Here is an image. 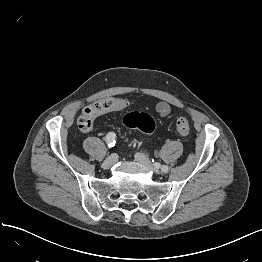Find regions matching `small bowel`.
Masks as SVG:
<instances>
[{
	"label": "small bowel",
	"instance_id": "1",
	"mask_svg": "<svg viewBox=\"0 0 262 262\" xmlns=\"http://www.w3.org/2000/svg\"><path fill=\"white\" fill-rule=\"evenodd\" d=\"M109 100L110 99L102 100V101L97 102L94 105L86 107L83 110L81 116L83 114H85V113H88L89 116L91 117V120L93 121L94 118H96V117H98L100 115H103V114L108 113V112L115 111L116 109H112V108H110L108 106V101ZM97 106L102 107V110L101 111H97L96 110ZM156 111L162 117H169V116L172 115L171 106L167 102H165V101H160V102H158L156 104ZM91 128H92V126L88 130H86V131H89Z\"/></svg>",
	"mask_w": 262,
	"mask_h": 262
}]
</instances>
